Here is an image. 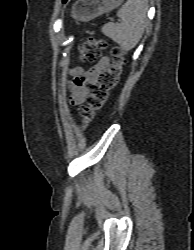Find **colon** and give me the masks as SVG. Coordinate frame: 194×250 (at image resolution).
I'll return each instance as SVG.
<instances>
[{
  "mask_svg": "<svg viewBox=\"0 0 194 250\" xmlns=\"http://www.w3.org/2000/svg\"><path fill=\"white\" fill-rule=\"evenodd\" d=\"M106 47L105 40L89 38L80 46V59L84 62H93ZM112 56V63L99 74L97 81L91 84L86 104L79 109L82 127H86L94 119L96 113L103 108L119 81L125 64V52L120 47H114Z\"/></svg>",
  "mask_w": 194,
  "mask_h": 250,
  "instance_id": "5ec220e1",
  "label": "colon"
}]
</instances>
